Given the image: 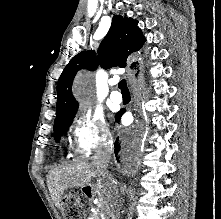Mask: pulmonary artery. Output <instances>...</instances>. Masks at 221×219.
<instances>
[{"mask_svg": "<svg viewBox=\"0 0 221 219\" xmlns=\"http://www.w3.org/2000/svg\"><path fill=\"white\" fill-rule=\"evenodd\" d=\"M116 85H117V81L115 80L112 82V86H116ZM110 99L112 102H114L116 104H120L123 100V97L120 92L112 91L110 94Z\"/></svg>", "mask_w": 221, "mask_h": 219, "instance_id": "pulmonary-artery-1", "label": "pulmonary artery"}]
</instances>
